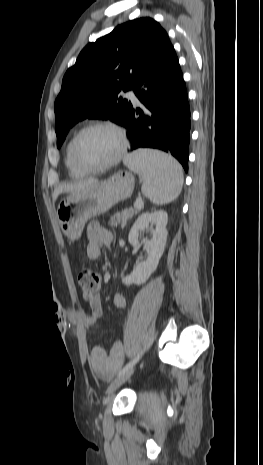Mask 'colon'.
Here are the masks:
<instances>
[{
  "label": "colon",
  "mask_w": 263,
  "mask_h": 465,
  "mask_svg": "<svg viewBox=\"0 0 263 465\" xmlns=\"http://www.w3.org/2000/svg\"><path fill=\"white\" fill-rule=\"evenodd\" d=\"M78 285L86 299L95 297L101 288V277L98 272L91 268H82L78 273ZM89 325L95 323L93 319L88 320Z\"/></svg>",
  "instance_id": "5ec220e1"
}]
</instances>
